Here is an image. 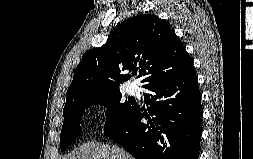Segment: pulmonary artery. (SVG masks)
I'll use <instances>...</instances> for the list:
<instances>
[{"instance_id":"obj_1","label":"pulmonary artery","mask_w":253,"mask_h":159,"mask_svg":"<svg viewBox=\"0 0 253 159\" xmlns=\"http://www.w3.org/2000/svg\"><path fill=\"white\" fill-rule=\"evenodd\" d=\"M129 93L130 94H135V93H137V91H138V87H137V85L136 84H131L130 86H129Z\"/></svg>"}]
</instances>
